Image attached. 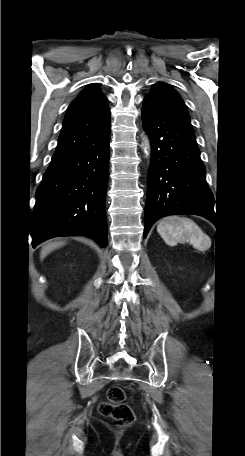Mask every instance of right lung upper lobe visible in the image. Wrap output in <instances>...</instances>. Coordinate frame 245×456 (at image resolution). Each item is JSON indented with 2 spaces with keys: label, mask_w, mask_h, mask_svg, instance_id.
<instances>
[{
  "label": "right lung upper lobe",
  "mask_w": 245,
  "mask_h": 456,
  "mask_svg": "<svg viewBox=\"0 0 245 456\" xmlns=\"http://www.w3.org/2000/svg\"><path fill=\"white\" fill-rule=\"evenodd\" d=\"M109 124L108 99L96 84H91L68 107L53 156L92 144Z\"/></svg>",
  "instance_id": "cb5924a9"
}]
</instances>
